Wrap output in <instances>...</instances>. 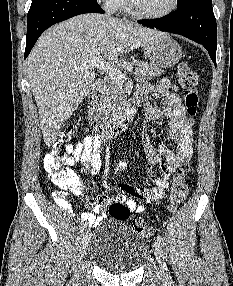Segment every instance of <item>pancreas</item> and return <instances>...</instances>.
Here are the masks:
<instances>
[{
    "label": "pancreas",
    "instance_id": "1",
    "mask_svg": "<svg viewBox=\"0 0 233 286\" xmlns=\"http://www.w3.org/2000/svg\"><path fill=\"white\" fill-rule=\"evenodd\" d=\"M136 70L141 72L138 74L141 80L153 79L161 75L164 71L158 67L152 66L145 62H136ZM123 102V83L111 78L106 90L103 93L101 104L105 105L107 111L114 110L120 103Z\"/></svg>",
    "mask_w": 233,
    "mask_h": 286
}]
</instances>
